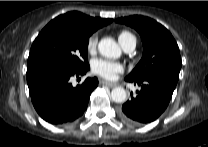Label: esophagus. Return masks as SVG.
Here are the masks:
<instances>
[{"instance_id": "1", "label": "esophagus", "mask_w": 208, "mask_h": 147, "mask_svg": "<svg viewBox=\"0 0 208 147\" xmlns=\"http://www.w3.org/2000/svg\"><path fill=\"white\" fill-rule=\"evenodd\" d=\"M100 83H101L102 85H106V86H109V87H111V88L117 86L116 83H112V82H109V81H106V80H100Z\"/></svg>"}]
</instances>
